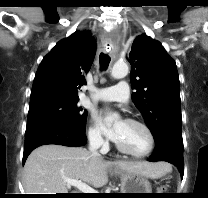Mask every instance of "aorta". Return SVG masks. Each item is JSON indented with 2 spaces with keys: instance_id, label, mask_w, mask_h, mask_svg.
Wrapping results in <instances>:
<instances>
[{
  "instance_id": "762f6f07",
  "label": "aorta",
  "mask_w": 208,
  "mask_h": 198,
  "mask_svg": "<svg viewBox=\"0 0 208 198\" xmlns=\"http://www.w3.org/2000/svg\"><path fill=\"white\" fill-rule=\"evenodd\" d=\"M128 65L126 63L117 62L114 64L111 70V76L115 79L124 78L128 74ZM119 119L118 114L110 115L107 118V124L111 125L114 121Z\"/></svg>"
}]
</instances>
